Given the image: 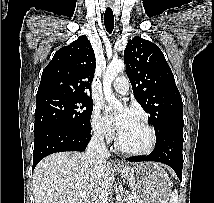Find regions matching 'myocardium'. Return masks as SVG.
Masks as SVG:
<instances>
[{
    "label": "myocardium",
    "instance_id": "f54148a6",
    "mask_svg": "<svg viewBox=\"0 0 214 203\" xmlns=\"http://www.w3.org/2000/svg\"><path fill=\"white\" fill-rule=\"evenodd\" d=\"M139 122L146 128V130L149 133V143L147 144L146 147L142 149H138V150L129 149L122 145L120 141V133H119L116 140V147L122 153L130 156H144V155L150 154L154 150L157 143V135H156L155 129L144 119H139Z\"/></svg>",
    "mask_w": 214,
    "mask_h": 203
}]
</instances>
